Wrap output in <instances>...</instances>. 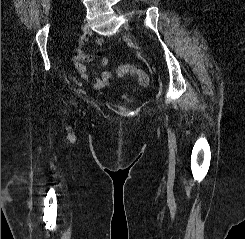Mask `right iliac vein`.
Returning a JSON list of instances; mask_svg holds the SVG:
<instances>
[{
  "instance_id": "63e3f726",
  "label": "right iliac vein",
  "mask_w": 245,
  "mask_h": 239,
  "mask_svg": "<svg viewBox=\"0 0 245 239\" xmlns=\"http://www.w3.org/2000/svg\"><path fill=\"white\" fill-rule=\"evenodd\" d=\"M82 30H83V33L86 35V34H89L90 31H91V28H90V25L85 23L82 27Z\"/></svg>"
}]
</instances>
